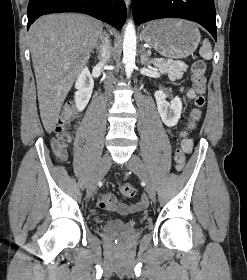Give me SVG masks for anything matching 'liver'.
Masks as SVG:
<instances>
[{
    "instance_id": "obj_1",
    "label": "liver",
    "mask_w": 247,
    "mask_h": 280,
    "mask_svg": "<svg viewBox=\"0 0 247 280\" xmlns=\"http://www.w3.org/2000/svg\"><path fill=\"white\" fill-rule=\"evenodd\" d=\"M102 35V23L81 14H50L29 30L40 116L47 133L58 121L75 78Z\"/></svg>"
}]
</instances>
